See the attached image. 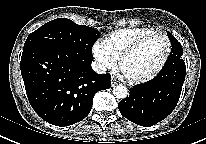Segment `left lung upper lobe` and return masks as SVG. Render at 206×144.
<instances>
[{
    "label": "left lung upper lobe",
    "instance_id": "5c2ea615",
    "mask_svg": "<svg viewBox=\"0 0 206 144\" xmlns=\"http://www.w3.org/2000/svg\"><path fill=\"white\" fill-rule=\"evenodd\" d=\"M167 34L171 41L172 49H171V53L165 64H167L168 62H172L173 60L183 61L182 59L183 49H182L181 44L177 41V39L170 32H167Z\"/></svg>",
    "mask_w": 206,
    "mask_h": 144
}]
</instances>
